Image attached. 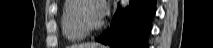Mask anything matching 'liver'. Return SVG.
<instances>
[{
    "mask_svg": "<svg viewBox=\"0 0 213 48\" xmlns=\"http://www.w3.org/2000/svg\"><path fill=\"white\" fill-rule=\"evenodd\" d=\"M70 48H97V45L94 43H85V44H75Z\"/></svg>",
    "mask_w": 213,
    "mask_h": 48,
    "instance_id": "liver-1",
    "label": "liver"
}]
</instances>
